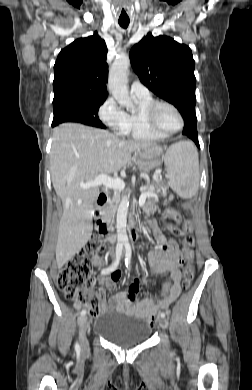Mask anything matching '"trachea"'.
Here are the masks:
<instances>
[{
	"label": "trachea",
	"instance_id": "1",
	"mask_svg": "<svg viewBox=\"0 0 252 390\" xmlns=\"http://www.w3.org/2000/svg\"><path fill=\"white\" fill-rule=\"evenodd\" d=\"M119 25L123 28H127L129 25L130 20L129 19H119Z\"/></svg>",
	"mask_w": 252,
	"mask_h": 390
}]
</instances>
